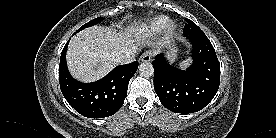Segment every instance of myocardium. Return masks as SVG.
<instances>
[{
  "label": "myocardium",
  "instance_id": "obj_1",
  "mask_svg": "<svg viewBox=\"0 0 276 138\" xmlns=\"http://www.w3.org/2000/svg\"><path fill=\"white\" fill-rule=\"evenodd\" d=\"M165 29H166L167 34H171V33H173L175 31L176 26H175V24L173 22H169L166 25Z\"/></svg>",
  "mask_w": 276,
  "mask_h": 138
}]
</instances>
